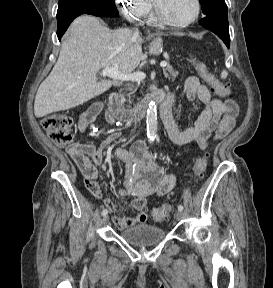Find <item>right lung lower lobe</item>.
<instances>
[{
  "label": "right lung lower lobe",
  "instance_id": "right-lung-lower-lobe-1",
  "mask_svg": "<svg viewBox=\"0 0 273 288\" xmlns=\"http://www.w3.org/2000/svg\"><path fill=\"white\" fill-rule=\"evenodd\" d=\"M82 14H86V13H78V14H72L69 16H66L62 19L57 20L58 22V28H57V36L58 39H60L62 37V35L65 33V31L67 30L68 26L70 25V23L78 16L82 15ZM99 17H110V16H99Z\"/></svg>",
  "mask_w": 273,
  "mask_h": 288
}]
</instances>
